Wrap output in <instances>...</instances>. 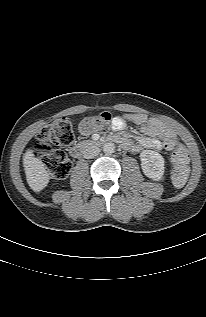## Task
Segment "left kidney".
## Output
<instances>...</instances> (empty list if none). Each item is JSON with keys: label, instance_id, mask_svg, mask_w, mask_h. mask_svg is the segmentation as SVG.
<instances>
[{"label": "left kidney", "instance_id": "left-kidney-1", "mask_svg": "<svg viewBox=\"0 0 206 317\" xmlns=\"http://www.w3.org/2000/svg\"><path fill=\"white\" fill-rule=\"evenodd\" d=\"M143 173L156 181L162 180L164 175V158L158 152L144 150L140 154Z\"/></svg>", "mask_w": 206, "mask_h": 317}]
</instances>
